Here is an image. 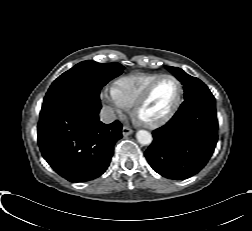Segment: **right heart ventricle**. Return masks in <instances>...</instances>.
I'll return each instance as SVG.
<instances>
[{"mask_svg": "<svg viewBox=\"0 0 252 231\" xmlns=\"http://www.w3.org/2000/svg\"><path fill=\"white\" fill-rule=\"evenodd\" d=\"M160 74L140 73L119 78L114 83L118 97L128 106L134 105L146 87L158 78Z\"/></svg>", "mask_w": 252, "mask_h": 231, "instance_id": "1", "label": "right heart ventricle"}]
</instances>
